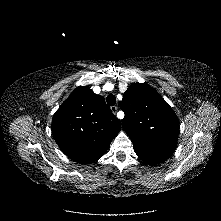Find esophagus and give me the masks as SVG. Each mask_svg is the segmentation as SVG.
Masks as SVG:
<instances>
[{"label": "esophagus", "instance_id": "obj_1", "mask_svg": "<svg viewBox=\"0 0 221 221\" xmlns=\"http://www.w3.org/2000/svg\"><path fill=\"white\" fill-rule=\"evenodd\" d=\"M117 110H118L117 106H111V111H112L113 114H116Z\"/></svg>", "mask_w": 221, "mask_h": 221}]
</instances>
